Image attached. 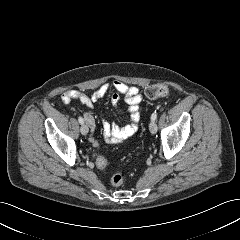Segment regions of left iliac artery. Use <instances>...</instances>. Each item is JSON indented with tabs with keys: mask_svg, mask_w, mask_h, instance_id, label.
Segmentation results:
<instances>
[{
	"mask_svg": "<svg viewBox=\"0 0 240 240\" xmlns=\"http://www.w3.org/2000/svg\"><path fill=\"white\" fill-rule=\"evenodd\" d=\"M157 119L156 111L151 115V120L155 121Z\"/></svg>",
	"mask_w": 240,
	"mask_h": 240,
	"instance_id": "44dca946",
	"label": "left iliac artery"
}]
</instances>
